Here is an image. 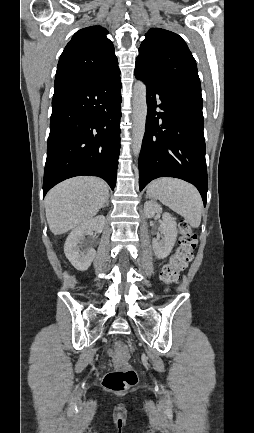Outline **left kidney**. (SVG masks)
I'll return each instance as SVG.
<instances>
[{
  "label": "left kidney",
  "mask_w": 254,
  "mask_h": 433,
  "mask_svg": "<svg viewBox=\"0 0 254 433\" xmlns=\"http://www.w3.org/2000/svg\"><path fill=\"white\" fill-rule=\"evenodd\" d=\"M162 208L159 204L154 201H146L144 204V214L147 218H152L157 213H161ZM161 234H163L162 240L154 238L152 240V246L155 255L160 258H166L172 251L177 238V224L175 218L169 213H164L161 221Z\"/></svg>",
  "instance_id": "1"
}]
</instances>
